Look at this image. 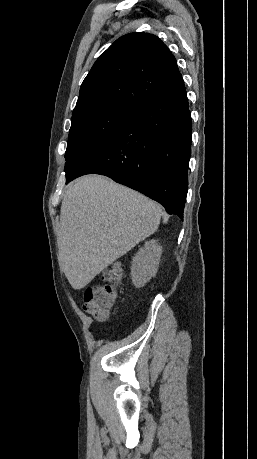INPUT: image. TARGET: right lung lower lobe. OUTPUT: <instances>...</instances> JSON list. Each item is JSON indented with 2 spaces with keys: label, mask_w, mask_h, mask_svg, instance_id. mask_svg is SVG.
Returning <instances> with one entry per match:
<instances>
[{
  "label": "right lung lower lobe",
  "mask_w": 257,
  "mask_h": 459,
  "mask_svg": "<svg viewBox=\"0 0 257 459\" xmlns=\"http://www.w3.org/2000/svg\"><path fill=\"white\" fill-rule=\"evenodd\" d=\"M191 132V113L181 79L136 108L127 124L66 178V184L84 174L105 175L156 200L167 213L183 220Z\"/></svg>",
  "instance_id": "98d812e1"
}]
</instances>
